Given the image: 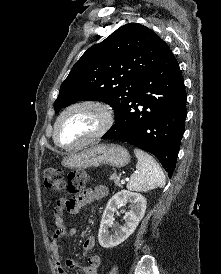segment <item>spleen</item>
Here are the masks:
<instances>
[{
	"label": "spleen",
	"instance_id": "1",
	"mask_svg": "<svg viewBox=\"0 0 221 274\" xmlns=\"http://www.w3.org/2000/svg\"><path fill=\"white\" fill-rule=\"evenodd\" d=\"M135 156L138 159L136 171L131 175L127 188L131 191L147 192L157 187L165 186V175L156 162L148 153L135 148Z\"/></svg>",
	"mask_w": 221,
	"mask_h": 274
}]
</instances>
